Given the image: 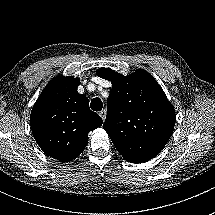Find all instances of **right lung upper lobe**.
Segmentation results:
<instances>
[{"mask_svg": "<svg viewBox=\"0 0 215 215\" xmlns=\"http://www.w3.org/2000/svg\"><path fill=\"white\" fill-rule=\"evenodd\" d=\"M78 78L57 76L40 94L30 116L34 139L43 152L61 162L77 158L88 143V133L103 123L79 94Z\"/></svg>", "mask_w": 215, "mask_h": 215, "instance_id": "1", "label": "right lung upper lobe"}]
</instances>
